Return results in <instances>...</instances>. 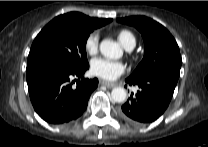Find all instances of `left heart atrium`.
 Segmentation results:
<instances>
[{
  "label": "left heart atrium",
  "mask_w": 208,
  "mask_h": 147,
  "mask_svg": "<svg viewBox=\"0 0 208 147\" xmlns=\"http://www.w3.org/2000/svg\"><path fill=\"white\" fill-rule=\"evenodd\" d=\"M91 73L105 80H115L125 71V65L120 61L106 58H95L91 61Z\"/></svg>",
  "instance_id": "obj_1"
}]
</instances>
